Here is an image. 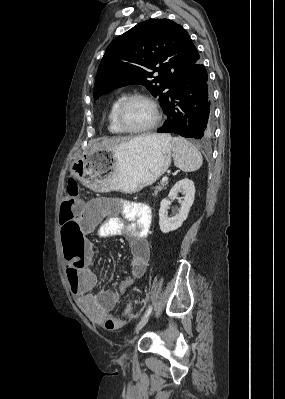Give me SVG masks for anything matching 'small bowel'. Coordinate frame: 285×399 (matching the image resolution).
<instances>
[{
	"instance_id": "1",
	"label": "small bowel",
	"mask_w": 285,
	"mask_h": 399,
	"mask_svg": "<svg viewBox=\"0 0 285 399\" xmlns=\"http://www.w3.org/2000/svg\"><path fill=\"white\" fill-rule=\"evenodd\" d=\"M95 208L103 216L102 224L96 233L97 239L120 235L126 237L131 254L130 272L121 278L117 290L102 289L98 295H93L91 290L97 286L99 277L90 267L93 258L92 245L85 242L86 265L78 276L69 280L70 291L75 296L78 307L95 323L103 325L109 331H116L123 323L117 317L108 315V312L115 308L120 295L146 271L150 259L147 236L152 219L147 205L142 202L119 201L115 206L107 200L100 199ZM84 209L85 206L76 208L75 219L78 223L83 221L80 215ZM119 212L122 216L117 215ZM89 232L90 227L82 225L77 231V239L82 240Z\"/></svg>"
}]
</instances>
